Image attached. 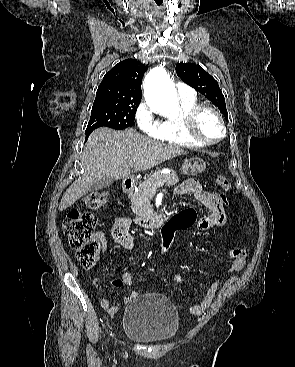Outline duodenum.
Segmentation results:
<instances>
[{"label":"duodenum","mask_w":295,"mask_h":367,"mask_svg":"<svg viewBox=\"0 0 295 367\" xmlns=\"http://www.w3.org/2000/svg\"><path fill=\"white\" fill-rule=\"evenodd\" d=\"M135 180L133 177H127L123 180L122 188L125 192L133 190ZM168 219L167 212H158L146 216H140L135 219L136 224L143 228H158Z\"/></svg>","instance_id":"1"}]
</instances>
